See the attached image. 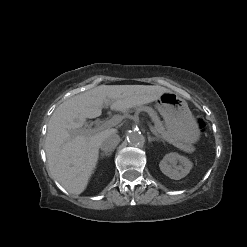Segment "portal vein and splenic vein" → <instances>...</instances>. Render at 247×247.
Masks as SVG:
<instances>
[{"mask_svg":"<svg viewBox=\"0 0 247 247\" xmlns=\"http://www.w3.org/2000/svg\"><path fill=\"white\" fill-rule=\"evenodd\" d=\"M121 121H122V118H121V117H119V116L113 117L112 119H110V120L106 121L105 123H103L102 125H100V126L97 128V130H99V129H101V128H104V127L115 126V125L119 124ZM148 126H149V128H150V131H151L153 134L157 135L156 130L154 129V127H153L150 123H148ZM90 131H93V130H90Z\"/></svg>","mask_w":247,"mask_h":247,"instance_id":"18ae733b","label":"portal vein and splenic vein"}]
</instances>
